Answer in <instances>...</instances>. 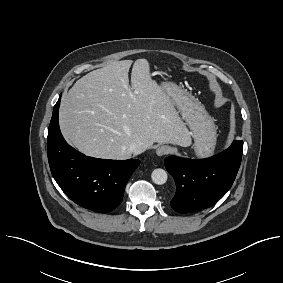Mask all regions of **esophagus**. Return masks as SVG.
<instances>
[{
	"mask_svg": "<svg viewBox=\"0 0 283 283\" xmlns=\"http://www.w3.org/2000/svg\"><path fill=\"white\" fill-rule=\"evenodd\" d=\"M171 151H172V149H171L170 146L162 145V146H160V147L157 148L156 154H157L158 156H164V155L169 154Z\"/></svg>",
	"mask_w": 283,
	"mask_h": 283,
	"instance_id": "1",
	"label": "esophagus"
}]
</instances>
